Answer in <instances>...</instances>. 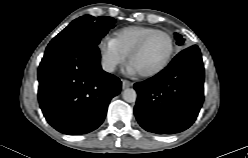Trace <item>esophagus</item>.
Returning a JSON list of instances; mask_svg holds the SVG:
<instances>
[{"mask_svg": "<svg viewBox=\"0 0 248 158\" xmlns=\"http://www.w3.org/2000/svg\"><path fill=\"white\" fill-rule=\"evenodd\" d=\"M133 85L132 82L128 81V80H122V88L123 89H126V88H129Z\"/></svg>", "mask_w": 248, "mask_h": 158, "instance_id": "obj_1", "label": "esophagus"}]
</instances>
